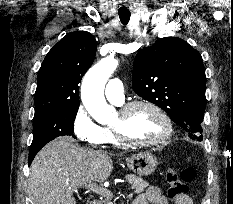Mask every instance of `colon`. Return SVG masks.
I'll return each mask as SVG.
<instances>
[{
    "label": "colon",
    "mask_w": 233,
    "mask_h": 204,
    "mask_svg": "<svg viewBox=\"0 0 233 204\" xmlns=\"http://www.w3.org/2000/svg\"><path fill=\"white\" fill-rule=\"evenodd\" d=\"M196 176V171L192 167H185L178 169L175 167H168L165 172V179L168 183V197L170 199H177L187 192V184L191 182Z\"/></svg>",
    "instance_id": "5ec220e1"
}]
</instances>
